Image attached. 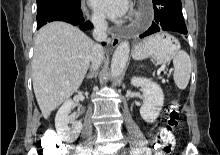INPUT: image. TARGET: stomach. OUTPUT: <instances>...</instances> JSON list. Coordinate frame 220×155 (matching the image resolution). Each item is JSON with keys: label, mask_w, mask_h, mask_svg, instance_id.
<instances>
[{"label": "stomach", "mask_w": 220, "mask_h": 155, "mask_svg": "<svg viewBox=\"0 0 220 155\" xmlns=\"http://www.w3.org/2000/svg\"><path fill=\"white\" fill-rule=\"evenodd\" d=\"M180 49L179 41L167 32H159L143 40L134 51V58L152 57L157 64L168 63Z\"/></svg>", "instance_id": "0dacf381"}]
</instances>
